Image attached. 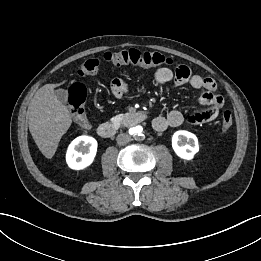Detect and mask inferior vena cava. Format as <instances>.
<instances>
[{"instance_id":"obj_1","label":"inferior vena cava","mask_w":261,"mask_h":261,"mask_svg":"<svg viewBox=\"0 0 261 261\" xmlns=\"http://www.w3.org/2000/svg\"><path fill=\"white\" fill-rule=\"evenodd\" d=\"M119 145H126L131 140V136L127 133H121L116 138Z\"/></svg>"}]
</instances>
